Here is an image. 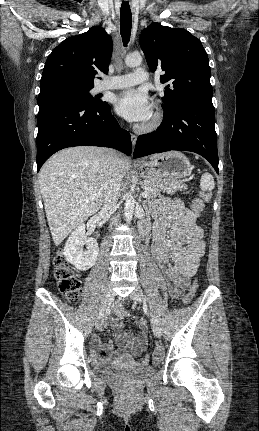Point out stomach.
<instances>
[{
	"instance_id": "obj_1",
	"label": "stomach",
	"mask_w": 259,
	"mask_h": 431,
	"mask_svg": "<svg viewBox=\"0 0 259 431\" xmlns=\"http://www.w3.org/2000/svg\"><path fill=\"white\" fill-rule=\"evenodd\" d=\"M139 171L143 178H167L171 180L182 179L191 174L192 166L189 159L179 151H170L160 154L150 161H144L139 165Z\"/></svg>"
}]
</instances>
